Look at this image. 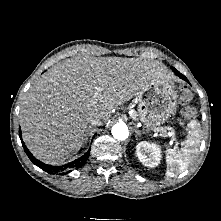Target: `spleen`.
<instances>
[{"instance_id":"3e777b00","label":"spleen","mask_w":221,"mask_h":221,"mask_svg":"<svg viewBox=\"0 0 221 221\" xmlns=\"http://www.w3.org/2000/svg\"><path fill=\"white\" fill-rule=\"evenodd\" d=\"M191 131L186 137L185 145L181 149H167L166 153V177H174L185 171L191 161L196 157L200 146V129L196 120L190 122Z\"/></svg>"}]
</instances>
